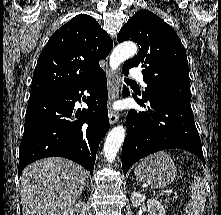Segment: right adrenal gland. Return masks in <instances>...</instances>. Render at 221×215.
I'll return each mask as SVG.
<instances>
[{"mask_svg": "<svg viewBox=\"0 0 221 215\" xmlns=\"http://www.w3.org/2000/svg\"><path fill=\"white\" fill-rule=\"evenodd\" d=\"M87 188H89V181L87 180L86 181V185H85Z\"/></svg>", "mask_w": 221, "mask_h": 215, "instance_id": "right-adrenal-gland-1", "label": "right adrenal gland"}]
</instances>
